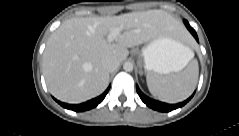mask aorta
<instances>
[{"label": "aorta", "instance_id": "1", "mask_svg": "<svg viewBox=\"0 0 239 136\" xmlns=\"http://www.w3.org/2000/svg\"><path fill=\"white\" fill-rule=\"evenodd\" d=\"M134 66H133V63L132 62H129V61H126L124 64H123V69L127 72H131L133 70Z\"/></svg>", "mask_w": 239, "mask_h": 136}]
</instances>
